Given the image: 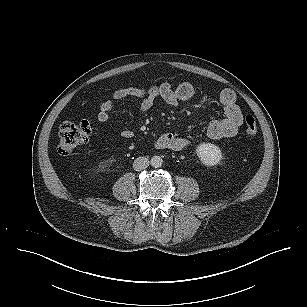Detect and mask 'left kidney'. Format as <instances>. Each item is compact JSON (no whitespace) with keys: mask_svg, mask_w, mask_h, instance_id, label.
I'll list each match as a JSON object with an SVG mask.
<instances>
[{"mask_svg":"<svg viewBox=\"0 0 307 307\" xmlns=\"http://www.w3.org/2000/svg\"><path fill=\"white\" fill-rule=\"evenodd\" d=\"M201 162L207 166H214L221 162L223 156L220 148L211 143H201L196 148Z\"/></svg>","mask_w":307,"mask_h":307,"instance_id":"obj_1","label":"left kidney"}]
</instances>
